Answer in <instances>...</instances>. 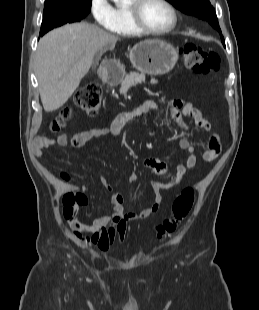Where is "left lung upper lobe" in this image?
<instances>
[{"mask_svg": "<svg viewBox=\"0 0 259 310\" xmlns=\"http://www.w3.org/2000/svg\"><path fill=\"white\" fill-rule=\"evenodd\" d=\"M182 12L208 21L220 34L217 16L209 0H167ZM223 39V36H221ZM224 40V39H223Z\"/></svg>", "mask_w": 259, "mask_h": 310, "instance_id": "1", "label": "left lung upper lobe"}]
</instances>
